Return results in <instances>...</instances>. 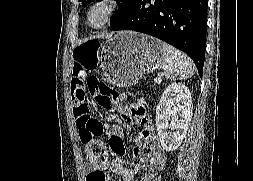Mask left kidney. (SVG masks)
Here are the masks:
<instances>
[{"label": "left kidney", "instance_id": "5707ae66", "mask_svg": "<svg viewBox=\"0 0 253 181\" xmlns=\"http://www.w3.org/2000/svg\"><path fill=\"white\" fill-rule=\"evenodd\" d=\"M192 114L193 104L189 89L182 83L167 86L156 108V127L164 150L174 151L180 146Z\"/></svg>", "mask_w": 253, "mask_h": 181}]
</instances>
